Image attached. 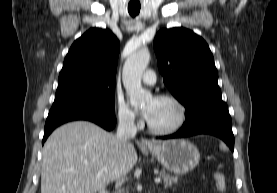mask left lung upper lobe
Listing matches in <instances>:
<instances>
[{
    "mask_svg": "<svg viewBox=\"0 0 277 193\" xmlns=\"http://www.w3.org/2000/svg\"><path fill=\"white\" fill-rule=\"evenodd\" d=\"M154 50L164 83L185 106L186 117L204 104L222 102L214 58L200 36L183 27L163 29Z\"/></svg>",
    "mask_w": 277,
    "mask_h": 193,
    "instance_id": "obj_1",
    "label": "left lung upper lobe"
}]
</instances>
